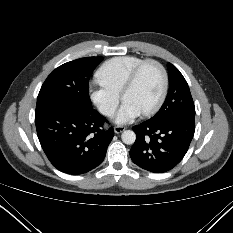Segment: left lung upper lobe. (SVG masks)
Returning <instances> with one entry per match:
<instances>
[{"label": "left lung upper lobe", "mask_w": 233, "mask_h": 233, "mask_svg": "<svg viewBox=\"0 0 233 233\" xmlns=\"http://www.w3.org/2000/svg\"><path fill=\"white\" fill-rule=\"evenodd\" d=\"M167 68L170 88L161 109L150 120L161 122L175 116H195L194 102L185 78L171 63Z\"/></svg>", "instance_id": "1"}]
</instances>
